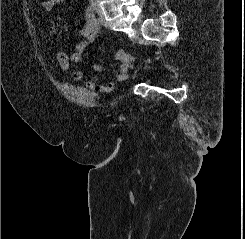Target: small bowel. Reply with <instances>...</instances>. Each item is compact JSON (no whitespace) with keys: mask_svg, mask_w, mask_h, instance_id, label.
<instances>
[{"mask_svg":"<svg viewBox=\"0 0 245 239\" xmlns=\"http://www.w3.org/2000/svg\"><path fill=\"white\" fill-rule=\"evenodd\" d=\"M66 0H45L42 2V7L50 11L55 6L64 3ZM100 27L97 23L91 9L86 10V24L82 30L79 31V36L84 40L78 42L75 46L74 52L68 54L64 51L57 53V60L63 70H70L72 65L81 61L83 53L92 45L99 37ZM114 59L120 63L115 81H110L105 84L97 82L96 77H93L86 83L89 90L97 91L100 93L111 92L116 83L123 82L128 77L129 60L124 50L117 48L114 52ZM93 68L95 71H106L107 67L99 63H94ZM71 75L74 81H81L83 79V72L80 69H73Z\"/></svg>","mask_w":245,"mask_h":239,"instance_id":"small-bowel-1","label":"small bowel"}]
</instances>
